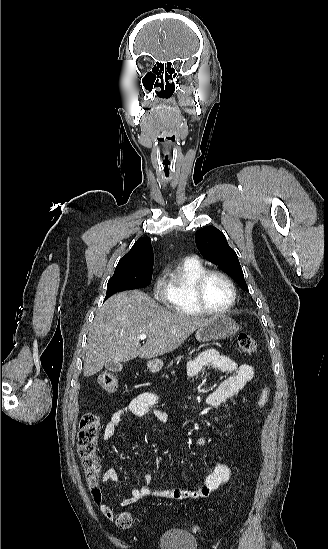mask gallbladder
Listing matches in <instances>:
<instances>
[{"label": "gallbladder", "mask_w": 328, "mask_h": 549, "mask_svg": "<svg viewBox=\"0 0 328 549\" xmlns=\"http://www.w3.org/2000/svg\"><path fill=\"white\" fill-rule=\"evenodd\" d=\"M123 367V363H115V361H107V363H105V369H107V371H114V373H120Z\"/></svg>", "instance_id": "obj_1"}]
</instances>
